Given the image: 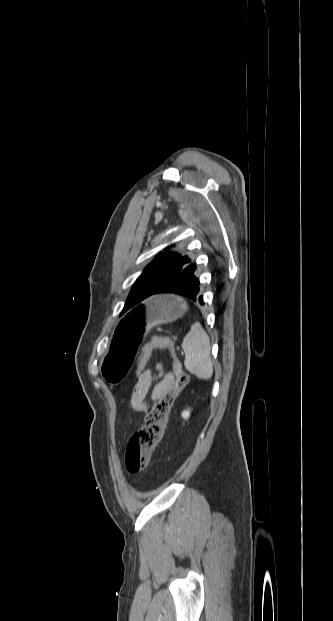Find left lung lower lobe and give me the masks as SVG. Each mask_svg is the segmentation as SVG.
I'll list each match as a JSON object with an SVG mask.
<instances>
[{"label": "left lung lower lobe", "mask_w": 333, "mask_h": 621, "mask_svg": "<svg viewBox=\"0 0 333 621\" xmlns=\"http://www.w3.org/2000/svg\"><path fill=\"white\" fill-rule=\"evenodd\" d=\"M195 269L187 270L178 275L177 277L171 279L161 288H159L155 292V294H179L191 299L194 302H200L201 304H204L203 297L202 295H200L199 279L194 274Z\"/></svg>", "instance_id": "left-lung-lower-lobe-1"}]
</instances>
